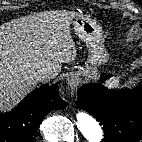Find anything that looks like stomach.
<instances>
[{"instance_id": "1", "label": "stomach", "mask_w": 142, "mask_h": 142, "mask_svg": "<svg viewBox=\"0 0 142 142\" xmlns=\"http://www.w3.org/2000/svg\"><path fill=\"white\" fill-rule=\"evenodd\" d=\"M73 26L76 35L89 47V62L94 66L105 62L107 54L102 45L104 40L103 31L96 20L81 13L73 21ZM90 29L92 30L88 31Z\"/></svg>"}]
</instances>
